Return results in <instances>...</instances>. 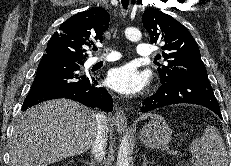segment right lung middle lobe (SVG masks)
<instances>
[{"mask_svg": "<svg viewBox=\"0 0 231 166\" xmlns=\"http://www.w3.org/2000/svg\"><path fill=\"white\" fill-rule=\"evenodd\" d=\"M76 63L83 64V63H84V61H78V62H76Z\"/></svg>", "mask_w": 231, "mask_h": 166, "instance_id": "1", "label": "right lung middle lobe"}]
</instances>
